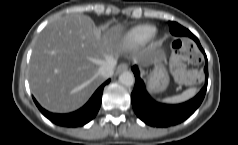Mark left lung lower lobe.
Returning <instances> with one entry per match:
<instances>
[{
    "label": "left lung lower lobe",
    "instance_id": "obj_1",
    "mask_svg": "<svg viewBox=\"0 0 238 145\" xmlns=\"http://www.w3.org/2000/svg\"><path fill=\"white\" fill-rule=\"evenodd\" d=\"M170 32L175 36H188L197 43L199 49L204 53L206 59L204 68L206 82L201 91L193 99L185 103L178 105L161 104L151 99L145 89L144 82L139 76V70L137 66H133L132 70L134 72L136 81L131 94L132 106L136 115L143 122L153 127H169L185 121L200 106L205 97L207 89L208 61L199 40L188 29L182 27L176 22H170Z\"/></svg>",
    "mask_w": 238,
    "mask_h": 145
}]
</instances>
